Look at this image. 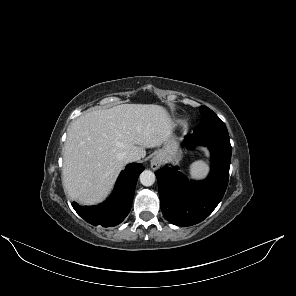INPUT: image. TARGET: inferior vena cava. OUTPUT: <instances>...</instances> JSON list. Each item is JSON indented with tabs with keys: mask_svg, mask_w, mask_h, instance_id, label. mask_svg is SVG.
Returning <instances> with one entry per match:
<instances>
[{
	"mask_svg": "<svg viewBox=\"0 0 296 296\" xmlns=\"http://www.w3.org/2000/svg\"><path fill=\"white\" fill-rule=\"evenodd\" d=\"M123 159L125 160L126 163H129V162L140 160L141 157L136 152L130 151L123 154Z\"/></svg>",
	"mask_w": 296,
	"mask_h": 296,
	"instance_id": "inferior-vena-cava-1",
	"label": "inferior vena cava"
}]
</instances>
